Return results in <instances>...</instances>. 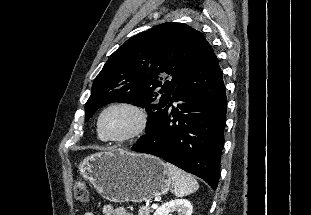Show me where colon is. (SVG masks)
Segmentation results:
<instances>
[{
  "instance_id": "obj_1",
  "label": "colon",
  "mask_w": 311,
  "mask_h": 215,
  "mask_svg": "<svg viewBox=\"0 0 311 215\" xmlns=\"http://www.w3.org/2000/svg\"><path fill=\"white\" fill-rule=\"evenodd\" d=\"M74 195L78 201L85 202L88 199V189L84 182L79 181L74 186Z\"/></svg>"
}]
</instances>
